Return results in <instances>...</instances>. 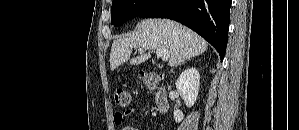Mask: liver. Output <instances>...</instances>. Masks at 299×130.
Segmentation results:
<instances>
[{
	"mask_svg": "<svg viewBox=\"0 0 299 130\" xmlns=\"http://www.w3.org/2000/svg\"><path fill=\"white\" fill-rule=\"evenodd\" d=\"M135 48L148 50L147 54L133 58L131 65H138L150 58V51L167 49L171 67L185 60L203 54L208 43L197 33L182 24L168 19H146L137 24L136 31L116 39L110 52L111 71L130 59Z\"/></svg>",
	"mask_w": 299,
	"mask_h": 130,
	"instance_id": "6515ba94",
	"label": "liver"
}]
</instances>
